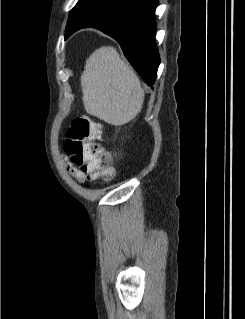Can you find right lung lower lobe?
Instances as JSON below:
<instances>
[{"instance_id":"obj_1","label":"right lung lower lobe","mask_w":245,"mask_h":319,"mask_svg":"<svg viewBox=\"0 0 245 319\" xmlns=\"http://www.w3.org/2000/svg\"><path fill=\"white\" fill-rule=\"evenodd\" d=\"M157 5L158 0H129L115 11L84 26L97 28L116 39L128 61L151 86L160 64L155 42Z\"/></svg>"}]
</instances>
